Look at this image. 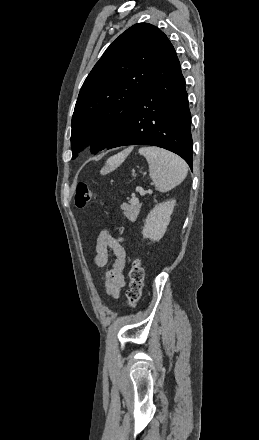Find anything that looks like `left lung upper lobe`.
Listing matches in <instances>:
<instances>
[{"mask_svg":"<svg viewBox=\"0 0 259 440\" xmlns=\"http://www.w3.org/2000/svg\"><path fill=\"white\" fill-rule=\"evenodd\" d=\"M168 38L157 27L138 23L104 52L84 81L72 117L73 157L90 140L92 152L119 135L146 88Z\"/></svg>","mask_w":259,"mask_h":440,"instance_id":"5c2ea615","label":"left lung upper lobe"}]
</instances>
